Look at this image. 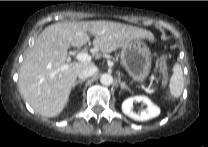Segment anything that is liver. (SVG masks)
<instances>
[{"label":"liver","instance_id":"6515ba94","mask_svg":"<svg viewBox=\"0 0 208 147\" xmlns=\"http://www.w3.org/2000/svg\"><path fill=\"white\" fill-rule=\"evenodd\" d=\"M89 34L94 35L95 58L134 40L153 39L150 31L111 21L62 22L46 27L26 53L19 71V92L36 113L51 118L63 111L78 71L93 64L69 62L68 48L85 45Z\"/></svg>","mask_w":208,"mask_h":147}]
</instances>
